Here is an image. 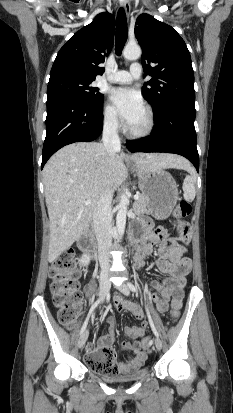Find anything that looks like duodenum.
<instances>
[{"instance_id": "1", "label": "duodenum", "mask_w": 233, "mask_h": 413, "mask_svg": "<svg viewBox=\"0 0 233 413\" xmlns=\"http://www.w3.org/2000/svg\"><path fill=\"white\" fill-rule=\"evenodd\" d=\"M131 241L133 243H137L139 241V237L137 234H133L131 237ZM78 244L80 249L89 254L92 257L96 256V246L94 241L93 233L90 229L85 230L81 236L79 237ZM134 261L136 266H140V256L137 252H135Z\"/></svg>"}]
</instances>
